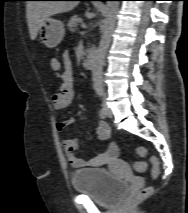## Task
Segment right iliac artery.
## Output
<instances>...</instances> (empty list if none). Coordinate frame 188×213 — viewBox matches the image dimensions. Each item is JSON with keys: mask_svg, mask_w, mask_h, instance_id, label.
<instances>
[{"mask_svg": "<svg viewBox=\"0 0 188 213\" xmlns=\"http://www.w3.org/2000/svg\"><path fill=\"white\" fill-rule=\"evenodd\" d=\"M107 117V109L105 104H102V109L100 111V118L105 119Z\"/></svg>", "mask_w": 188, "mask_h": 213, "instance_id": "1", "label": "right iliac artery"}]
</instances>
